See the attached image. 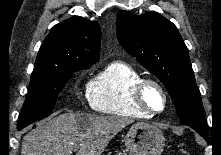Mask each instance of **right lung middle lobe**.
Listing matches in <instances>:
<instances>
[{
	"label": "right lung middle lobe",
	"mask_w": 221,
	"mask_h": 155,
	"mask_svg": "<svg viewBox=\"0 0 221 155\" xmlns=\"http://www.w3.org/2000/svg\"><path fill=\"white\" fill-rule=\"evenodd\" d=\"M90 65L84 64L72 67L59 65L34 66L30 89L23 104L17 129L21 130L29 124L49 116L55 106L58 93L74 72Z\"/></svg>",
	"instance_id": "right-lung-middle-lobe-1"
}]
</instances>
